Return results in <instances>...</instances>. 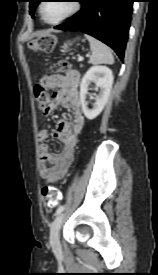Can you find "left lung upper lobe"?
I'll use <instances>...</instances> for the list:
<instances>
[{"instance_id":"5c2ea615","label":"left lung upper lobe","mask_w":158,"mask_h":275,"mask_svg":"<svg viewBox=\"0 0 158 275\" xmlns=\"http://www.w3.org/2000/svg\"><path fill=\"white\" fill-rule=\"evenodd\" d=\"M30 2V14L33 17V11L37 7V5L41 2V0H29Z\"/></svg>"}]
</instances>
